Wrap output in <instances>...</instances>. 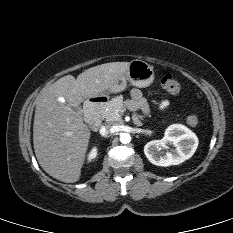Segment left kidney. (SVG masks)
Segmentation results:
<instances>
[{
	"label": "left kidney",
	"mask_w": 233,
	"mask_h": 233,
	"mask_svg": "<svg viewBox=\"0 0 233 233\" xmlns=\"http://www.w3.org/2000/svg\"><path fill=\"white\" fill-rule=\"evenodd\" d=\"M198 146L197 136L186 126L174 124L169 126L161 140H153L144 146L148 160L157 166L178 165L189 159ZM169 147H172L169 151ZM161 149H166L162 152Z\"/></svg>",
	"instance_id": "5707ae66"
}]
</instances>
